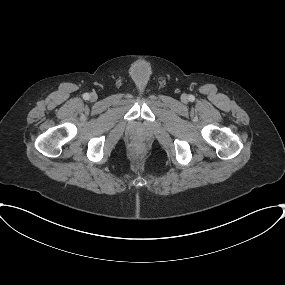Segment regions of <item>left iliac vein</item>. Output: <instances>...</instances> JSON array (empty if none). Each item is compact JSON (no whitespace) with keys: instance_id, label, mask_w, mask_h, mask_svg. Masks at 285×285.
<instances>
[{"instance_id":"left-iliac-vein-1","label":"left iliac vein","mask_w":285,"mask_h":285,"mask_svg":"<svg viewBox=\"0 0 285 285\" xmlns=\"http://www.w3.org/2000/svg\"><path fill=\"white\" fill-rule=\"evenodd\" d=\"M182 100H183V101H186V96H183Z\"/></svg>"}]
</instances>
